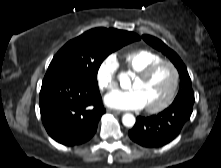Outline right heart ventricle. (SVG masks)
Wrapping results in <instances>:
<instances>
[{"mask_svg":"<svg viewBox=\"0 0 221 168\" xmlns=\"http://www.w3.org/2000/svg\"><path fill=\"white\" fill-rule=\"evenodd\" d=\"M123 59L127 70L135 74L141 72L148 66L163 60L162 56L147 49H139L129 52L124 55Z\"/></svg>","mask_w":221,"mask_h":168,"instance_id":"right-heart-ventricle-1","label":"right heart ventricle"}]
</instances>
